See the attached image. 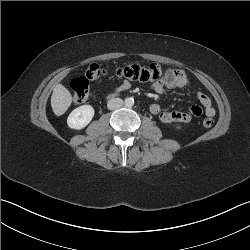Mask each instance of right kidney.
Listing matches in <instances>:
<instances>
[{"instance_id":"right-kidney-1","label":"right kidney","mask_w":250,"mask_h":250,"mask_svg":"<svg viewBox=\"0 0 250 250\" xmlns=\"http://www.w3.org/2000/svg\"><path fill=\"white\" fill-rule=\"evenodd\" d=\"M94 113L95 111L90 105L77 107L68 116L67 124L72 129H83L91 122Z\"/></svg>"}]
</instances>
